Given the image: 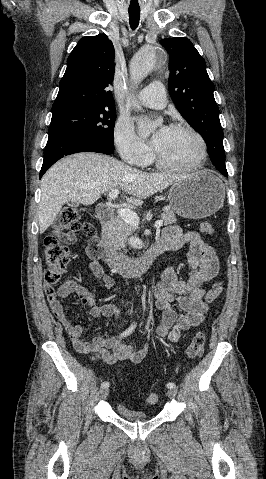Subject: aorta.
Listing matches in <instances>:
<instances>
[{
	"label": "aorta",
	"instance_id": "762f6f07",
	"mask_svg": "<svg viewBox=\"0 0 266 479\" xmlns=\"http://www.w3.org/2000/svg\"><path fill=\"white\" fill-rule=\"evenodd\" d=\"M159 59V51L155 47H147L137 52L130 62V75L134 82L141 81L156 66ZM141 133L151 130L149 125L139 126Z\"/></svg>",
	"mask_w": 266,
	"mask_h": 479
}]
</instances>
